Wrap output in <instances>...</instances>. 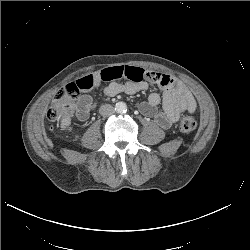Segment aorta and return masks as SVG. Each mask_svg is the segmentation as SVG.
I'll return each mask as SVG.
<instances>
[{
    "mask_svg": "<svg viewBox=\"0 0 250 250\" xmlns=\"http://www.w3.org/2000/svg\"><path fill=\"white\" fill-rule=\"evenodd\" d=\"M115 111L117 113H125L127 111V105L124 102H117L115 105Z\"/></svg>",
    "mask_w": 250,
    "mask_h": 250,
    "instance_id": "762f6f07",
    "label": "aorta"
}]
</instances>
